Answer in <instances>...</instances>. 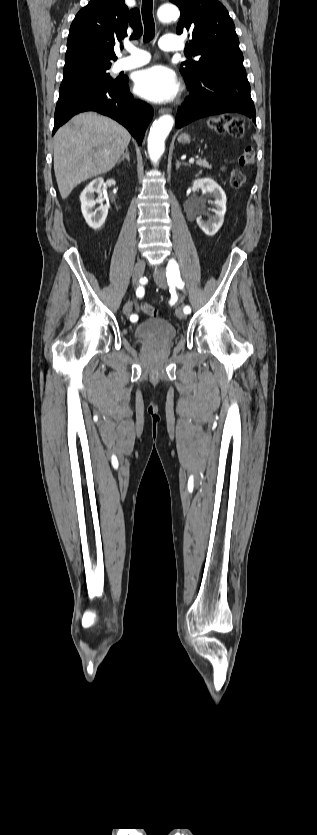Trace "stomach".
I'll return each instance as SVG.
<instances>
[{
    "label": "stomach",
    "instance_id": "obj_1",
    "mask_svg": "<svg viewBox=\"0 0 317 835\" xmlns=\"http://www.w3.org/2000/svg\"><path fill=\"white\" fill-rule=\"evenodd\" d=\"M177 140H178V142H180V143H183V144H188V143H190V141H191V137H190V135H189V134H187V133H181L180 135H178V139H177Z\"/></svg>",
    "mask_w": 317,
    "mask_h": 835
}]
</instances>
